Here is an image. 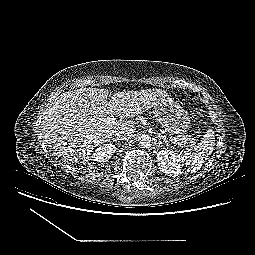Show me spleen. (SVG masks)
<instances>
[{
	"label": "spleen",
	"instance_id": "obj_1",
	"mask_svg": "<svg viewBox=\"0 0 255 255\" xmlns=\"http://www.w3.org/2000/svg\"><path fill=\"white\" fill-rule=\"evenodd\" d=\"M215 146V133L210 128L207 130L201 142L195 146L184 151L180 158L189 167L191 172H196L212 154Z\"/></svg>",
	"mask_w": 255,
	"mask_h": 255
}]
</instances>
